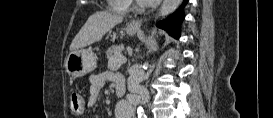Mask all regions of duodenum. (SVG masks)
<instances>
[{
    "instance_id": "410a0bca",
    "label": "duodenum",
    "mask_w": 273,
    "mask_h": 118,
    "mask_svg": "<svg viewBox=\"0 0 273 118\" xmlns=\"http://www.w3.org/2000/svg\"><path fill=\"white\" fill-rule=\"evenodd\" d=\"M115 88H116V93L118 96H122L126 92V84L124 80H116L115 81Z\"/></svg>"
}]
</instances>
